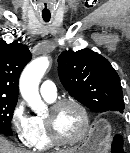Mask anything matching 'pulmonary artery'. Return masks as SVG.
Listing matches in <instances>:
<instances>
[{
  "label": "pulmonary artery",
  "instance_id": "obj_1",
  "mask_svg": "<svg viewBox=\"0 0 130 153\" xmlns=\"http://www.w3.org/2000/svg\"><path fill=\"white\" fill-rule=\"evenodd\" d=\"M40 93L43 97L54 100L57 96V88L53 81L45 80L40 86Z\"/></svg>",
  "mask_w": 130,
  "mask_h": 153
}]
</instances>
